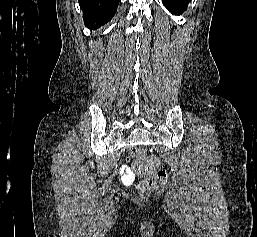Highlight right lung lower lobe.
<instances>
[{
	"mask_svg": "<svg viewBox=\"0 0 257 237\" xmlns=\"http://www.w3.org/2000/svg\"><path fill=\"white\" fill-rule=\"evenodd\" d=\"M120 0H79L83 11L84 24L91 30H97L114 16Z\"/></svg>",
	"mask_w": 257,
	"mask_h": 237,
	"instance_id": "right-lung-lower-lobe-1",
	"label": "right lung lower lobe"
}]
</instances>
